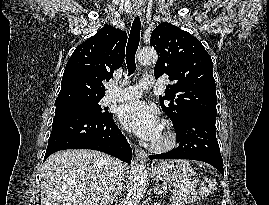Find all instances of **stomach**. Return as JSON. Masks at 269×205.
Instances as JSON below:
<instances>
[{
    "mask_svg": "<svg viewBox=\"0 0 269 205\" xmlns=\"http://www.w3.org/2000/svg\"><path fill=\"white\" fill-rule=\"evenodd\" d=\"M151 174L155 179L178 190L186 202H192L202 195L198 189L199 179L187 161H164L152 167Z\"/></svg>",
    "mask_w": 269,
    "mask_h": 205,
    "instance_id": "obj_1",
    "label": "stomach"
}]
</instances>
